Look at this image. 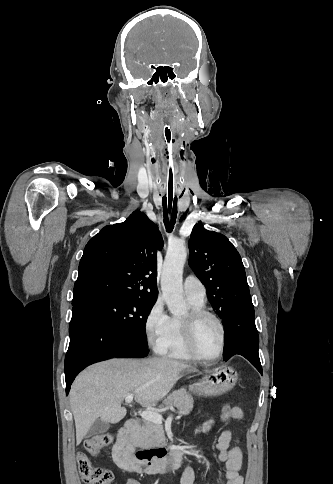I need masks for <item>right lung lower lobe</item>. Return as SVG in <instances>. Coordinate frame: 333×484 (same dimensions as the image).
Here are the masks:
<instances>
[{"label":"right lung lower lobe","instance_id":"obj_1","mask_svg":"<svg viewBox=\"0 0 333 484\" xmlns=\"http://www.w3.org/2000/svg\"><path fill=\"white\" fill-rule=\"evenodd\" d=\"M70 343L65 357L66 393L86 366L112 357H144L143 347L108 323L100 313L80 303L73 305Z\"/></svg>","mask_w":333,"mask_h":484}]
</instances>
